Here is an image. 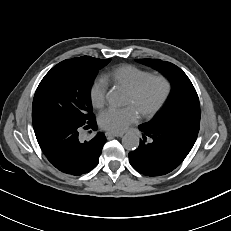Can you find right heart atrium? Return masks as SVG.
Listing matches in <instances>:
<instances>
[{"label": "right heart atrium", "instance_id": "obj_1", "mask_svg": "<svg viewBox=\"0 0 231 231\" xmlns=\"http://www.w3.org/2000/svg\"><path fill=\"white\" fill-rule=\"evenodd\" d=\"M107 83L103 78L95 80L90 88V101L93 107L102 108L106 103Z\"/></svg>", "mask_w": 231, "mask_h": 231}]
</instances>
